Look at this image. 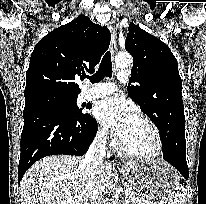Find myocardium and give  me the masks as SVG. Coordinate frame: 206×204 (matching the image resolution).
<instances>
[{"label":"myocardium","instance_id":"f54148a6","mask_svg":"<svg viewBox=\"0 0 206 204\" xmlns=\"http://www.w3.org/2000/svg\"><path fill=\"white\" fill-rule=\"evenodd\" d=\"M137 118L141 119L142 121H144L152 130L153 135L155 137V149L148 154H138V153H134L129 151L123 144V142L121 141L119 143V149L121 151L122 154H124L125 156L129 157V158H133V159H137V160H153L156 159L157 157H159L164 150V141H163V137L162 134L158 128V126L155 124V122L147 115L143 114V113H139L136 115Z\"/></svg>","mask_w":206,"mask_h":204}]
</instances>
